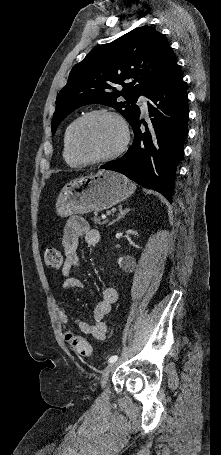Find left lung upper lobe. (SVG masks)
I'll list each match as a JSON object with an SVG mask.
<instances>
[{"instance_id":"left-lung-upper-lobe-1","label":"left lung upper lobe","mask_w":221,"mask_h":455,"mask_svg":"<svg viewBox=\"0 0 221 455\" xmlns=\"http://www.w3.org/2000/svg\"><path fill=\"white\" fill-rule=\"evenodd\" d=\"M176 61L166 39L150 26L92 49L72 68L57 96L52 133L75 109L94 103L113 107L132 125L140 114L138 97L146 96Z\"/></svg>"}]
</instances>
